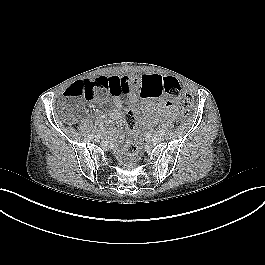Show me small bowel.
I'll return each mask as SVG.
<instances>
[{
    "label": "small bowel",
    "mask_w": 265,
    "mask_h": 265,
    "mask_svg": "<svg viewBox=\"0 0 265 265\" xmlns=\"http://www.w3.org/2000/svg\"><path fill=\"white\" fill-rule=\"evenodd\" d=\"M163 79V75L158 73L145 74L141 77H128L118 75H99L91 80L97 83L103 81L105 83L104 89H97V91L109 92L112 96L113 106L109 111V120L105 122L107 126H111L112 122L121 118L122 100L130 101L135 104L138 101L136 90H139L143 101L140 110L143 113L150 111L160 112L163 110L172 111L174 106L172 103L166 102L160 96L153 97L152 93L157 87V82ZM89 81V80H88ZM153 98H157L153 101ZM99 99V97H98ZM102 122H97V128H103Z\"/></svg>",
    "instance_id": "1"
}]
</instances>
